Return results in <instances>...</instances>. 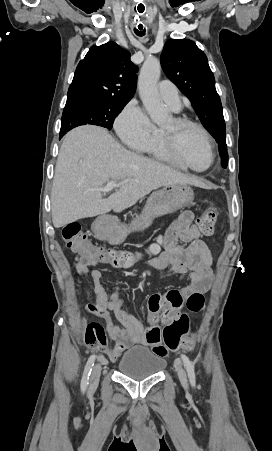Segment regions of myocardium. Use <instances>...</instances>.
Returning a JSON list of instances; mask_svg holds the SVG:
<instances>
[{"mask_svg": "<svg viewBox=\"0 0 272 451\" xmlns=\"http://www.w3.org/2000/svg\"><path fill=\"white\" fill-rule=\"evenodd\" d=\"M172 120L178 127H187V128H193V129L197 130L201 134V136L210 152V155H211V162L205 170H202V171L194 170V169L190 168L189 166H187L186 164H184L183 161H181L180 167L184 171L190 172V173L191 172L192 173H200V172H205V171L210 170L215 165V162H216V151L214 149L213 143H212L207 131L201 125H199L191 120H188L186 118L173 117ZM161 138H162V143H163L164 147H166L167 143L170 142L171 148H174V150L176 151V154H178V156H181V149H180L179 143H178L175 135H169L168 132L166 131V129L163 128L161 131Z\"/></svg>", "mask_w": 272, "mask_h": 451, "instance_id": "myocardium-1", "label": "myocardium"}]
</instances>
